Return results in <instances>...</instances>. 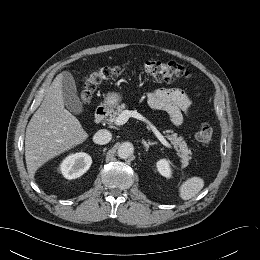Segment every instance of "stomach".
Instances as JSON below:
<instances>
[{
	"label": "stomach",
	"instance_id": "1",
	"mask_svg": "<svg viewBox=\"0 0 260 260\" xmlns=\"http://www.w3.org/2000/svg\"><path fill=\"white\" fill-rule=\"evenodd\" d=\"M121 99H122V97L119 93L110 92L107 94V96L105 98V103L107 106L113 107V106H116L121 101Z\"/></svg>",
	"mask_w": 260,
	"mask_h": 260
}]
</instances>
